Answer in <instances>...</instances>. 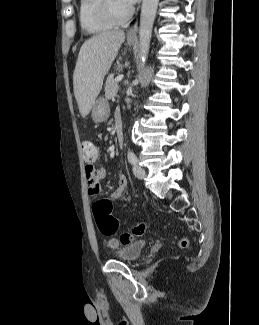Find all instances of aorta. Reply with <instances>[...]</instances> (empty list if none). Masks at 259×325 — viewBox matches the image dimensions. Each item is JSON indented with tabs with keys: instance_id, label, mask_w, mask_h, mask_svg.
I'll return each mask as SVG.
<instances>
[{
	"instance_id": "762f6f07",
	"label": "aorta",
	"mask_w": 259,
	"mask_h": 325,
	"mask_svg": "<svg viewBox=\"0 0 259 325\" xmlns=\"http://www.w3.org/2000/svg\"><path fill=\"white\" fill-rule=\"evenodd\" d=\"M159 0H143L140 15L139 26V43L140 53L139 57L142 63L146 61L148 56L150 41L152 36V29Z\"/></svg>"
}]
</instances>
